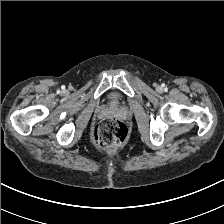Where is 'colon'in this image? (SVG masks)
Wrapping results in <instances>:
<instances>
[{"mask_svg":"<svg viewBox=\"0 0 224 224\" xmlns=\"http://www.w3.org/2000/svg\"><path fill=\"white\" fill-rule=\"evenodd\" d=\"M128 138L127 126L116 118L102 120L92 133V140L100 149H111L126 142Z\"/></svg>","mask_w":224,"mask_h":224,"instance_id":"colon-1","label":"colon"}]
</instances>
